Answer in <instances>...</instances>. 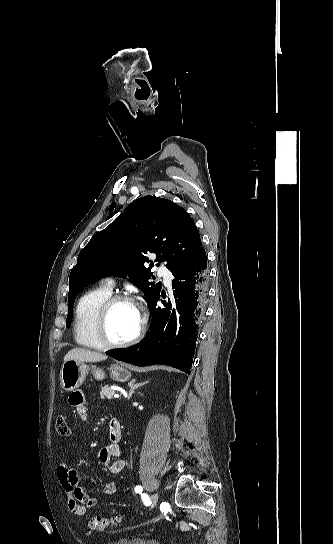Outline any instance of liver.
<instances>
[{"label":"liver","mask_w":333,"mask_h":544,"mask_svg":"<svg viewBox=\"0 0 333 544\" xmlns=\"http://www.w3.org/2000/svg\"><path fill=\"white\" fill-rule=\"evenodd\" d=\"M106 359L107 356L102 353L82 348H74L65 355L64 362L68 360H76L80 362H99Z\"/></svg>","instance_id":"liver-1"}]
</instances>
